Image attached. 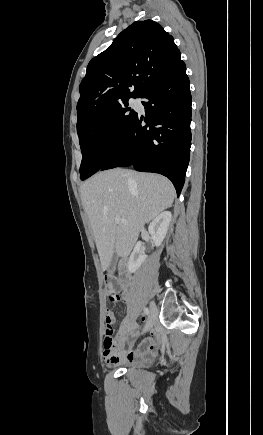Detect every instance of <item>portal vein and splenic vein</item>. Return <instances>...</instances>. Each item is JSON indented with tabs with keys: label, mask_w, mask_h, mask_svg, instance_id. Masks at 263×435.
<instances>
[{
	"label": "portal vein and splenic vein",
	"mask_w": 263,
	"mask_h": 435,
	"mask_svg": "<svg viewBox=\"0 0 263 435\" xmlns=\"http://www.w3.org/2000/svg\"><path fill=\"white\" fill-rule=\"evenodd\" d=\"M115 222H116L117 224H119V223H125V224H127V222H126L125 220H123V219H121V218H118V217L115 218Z\"/></svg>",
	"instance_id": "obj_1"
}]
</instances>
